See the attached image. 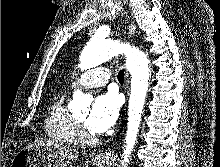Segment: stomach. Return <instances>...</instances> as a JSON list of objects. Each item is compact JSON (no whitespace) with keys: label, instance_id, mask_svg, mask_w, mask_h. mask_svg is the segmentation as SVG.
Instances as JSON below:
<instances>
[{"label":"stomach","instance_id":"stomach-1","mask_svg":"<svg viewBox=\"0 0 220 167\" xmlns=\"http://www.w3.org/2000/svg\"><path fill=\"white\" fill-rule=\"evenodd\" d=\"M110 159L97 160V167H105L109 164ZM11 167H67V163L49 160L40 150H36L32 146L21 149L14 156Z\"/></svg>","mask_w":220,"mask_h":167}]
</instances>
